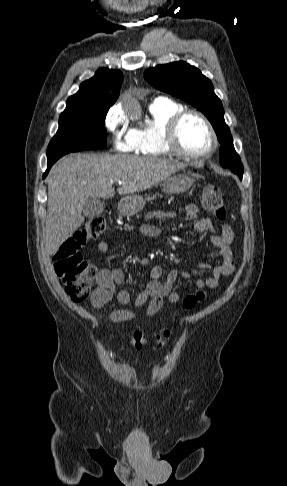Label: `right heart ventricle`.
<instances>
[{
	"mask_svg": "<svg viewBox=\"0 0 287 486\" xmlns=\"http://www.w3.org/2000/svg\"><path fill=\"white\" fill-rule=\"evenodd\" d=\"M183 110V106L167 98H157L149 105L150 120L132 130L134 152L144 156L164 157L174 154L164 142L168 120Z\"/></svg>",
	"mask_w": 287,
	"mask_h": 486,
	"instance_id": "right-heart-ventricle-1",
	"label": "right heart ventricle"
}]
</instances>
